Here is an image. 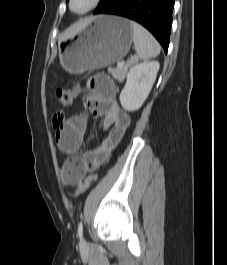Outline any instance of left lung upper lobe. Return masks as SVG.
I'll list each match as a JSON object with an SVG mask.
<instances>
[{"instance_id":"1","label":"left lung upper lobe","mask_w":227,"mask_h":265,"mask_svg":"<svg viewBox=\"0 0 227 265\" xmlns=\"http://www.w3.org/2000/svg\"><path fill=\"white\" fill-rule=\"evenodd\" d=\"M67 1H69V0H67ZM108 0H101V2L99 3V5H98V7H100L101 5H103L104 3H106ZM97 7V8H98Z\"/></svg>"}]
</instances>
